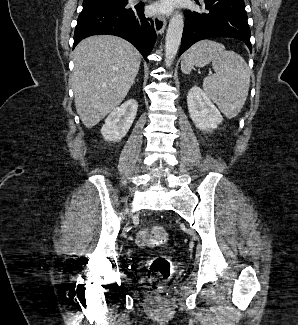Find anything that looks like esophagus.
<instances>
[{"label": "esophagus", "mask_w": 298, "mask_h": 325, "mask_svg": "<svg viewBox=\"0 0 298 325\" xmlns=\"http://www.w3.org/2000/svg\"><path fill=\"white\" fill-rule=\"evenodd\" d=\"M154 27L157 34H162L166 27V18L160 14L153 16Z\"/></svg>", "instance_id": "1"}]
</instances>
